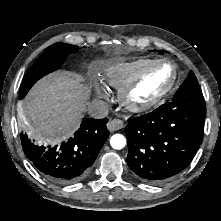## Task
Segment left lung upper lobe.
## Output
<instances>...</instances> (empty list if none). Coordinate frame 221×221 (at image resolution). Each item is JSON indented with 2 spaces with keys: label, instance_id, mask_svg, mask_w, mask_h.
Here are the masks:
<instances>
[{
  "label": "left lung upper lobe",
  "instance_id": "left-lung-upper-lobe-1",
  "mask_svg": "<svg viewBox=\"0 0 221 221\" xmlns=\"http://www.w3.org/2000/svg\"><path fill=\"white\" fill-rule=\"evenodd\" d=\"M173 107L205 109V101L195 74L190 71L170 102Z\"/></svg>",
  "mask_w": 221,
  "mask_h": 221
}]
</instances>
